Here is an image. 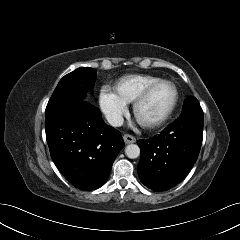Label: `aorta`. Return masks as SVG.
<instances>
[{
	"label": "aorta",
	"mask_w": 240,
	"mask_h": 240,
	"mask_svg": "<svg viewBox=\"0 0 240 240\" xmlns=\"http://www.w3.org/2000/svg\"><path fill=\"white\" fill-rule=\"evenodd\" d=\"M125 154L130 159H135L140 155V148L136 144H129L125 148Z\"/></svg>",
	"instance_id": "obj_1"
}]
</instances>
